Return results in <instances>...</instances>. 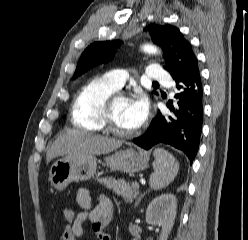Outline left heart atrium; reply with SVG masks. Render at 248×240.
Instances as JSON below:
<instances>
[{
	"instance_id": "left-heart-atrium-1",
	"label": "left heart atrium",
	"mask_w": 248,
	"mask_h": 240,
	"mask_svg": "<svg viewBox=\"0 0 248 240\" xmlns=\"http://www.w3.org/2000/svg\"><path fill=\"white\" fill-rule=\"evenodd\" d=\"M148 115V103L146 97L137 92L131 99L128 109V117L132 125L136 128L143 124Z\"/></svg>"
}]
</instances>
